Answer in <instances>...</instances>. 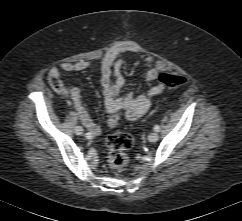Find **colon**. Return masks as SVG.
I'll list each match as a JSON object with an SVG mask.
<instances>
[{
	"label": "colon",
	"instance_id": "colon-1",
	"mask_svg": "<svg viewBox=\"0 0 242 221\" xmlns=\"http://www.w3.org/2000/svg\"><path fill=\"white\" fill-rule=\"evenodd\" d=\"M159 81L168 88H178L186 84L187 78L180 74L162 73ZM52 88L61 92L63 83L58 77H50ZM120 118L118 113H114L108 120L110 126H115ZM134 138L131 134L123 131L112 133L107 138L108 164L114 171H123L129 163L127 151L133 146Z\"/></svg>",
	"mask_w": 242,
	"mask_h": 221
}]
</instances>
